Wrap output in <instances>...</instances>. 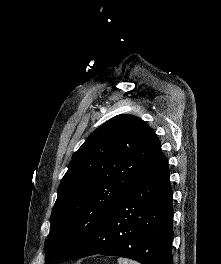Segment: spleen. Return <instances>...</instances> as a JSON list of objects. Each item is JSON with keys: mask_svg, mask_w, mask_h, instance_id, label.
Returning <instances> with one entry per match:
<instances>
[{"mask_svg": "<svg viewBox=\"0 0 221 264\" xmlns=\"http://www.w3.org/2000/svg\"><path fill=\"white\" fill-rule=\"evenodd\" d=\"M118 263L119 264H139V263H137L135 261H132V260H129V259H126V258H122V257L118 258Z\"/></svg>", "mask_w": 221, "mask_h": 264, "instance_id": "spleen-1", "label": "spleen"}]
</instances>
